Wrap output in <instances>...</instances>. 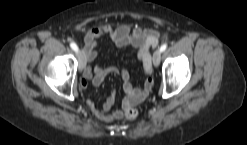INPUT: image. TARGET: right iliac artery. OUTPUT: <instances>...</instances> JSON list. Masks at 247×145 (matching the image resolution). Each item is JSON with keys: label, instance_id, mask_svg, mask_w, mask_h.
Instances as JSON below:
<instances>
[{"label": "right iliac artery", "instance_id": "82829eb1", "mask_svg": "<svg viewBox=\"0 0 247 145\" xmlns=\"http://www.w3.org/2000/svg\"><path fill=\"white\" fill-rule=\"evenodd\" d=\"M70 47L75 51V52H78V47L75 43L71 42L70 43Z\"/></svg>", "mask_w": 247, "mask_h": 145}]
</instances>
